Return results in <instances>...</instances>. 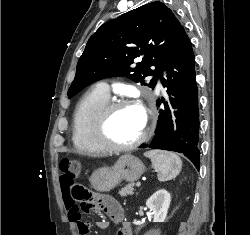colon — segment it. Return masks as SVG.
<instances>
[{
	"instance_id": "obj_1",
	"label": "colon",
	"mask_w": 250,
	"mask_h": 235,
	"mask_svg": "<svg viewBox=\"0 0 250 235\" xmlns=\"http://www.w3.org/2000/svg\"><path fill=\"white\" fill-rule=\"evenodd\" d=\"M61 183L71 189L72 197L76 202H80L84 210L92 209L87 191L80 185H75L82 174V164L78 159H63L60 162ZM79 208V207H78Z\"/></svg>"
}]
</instances>
